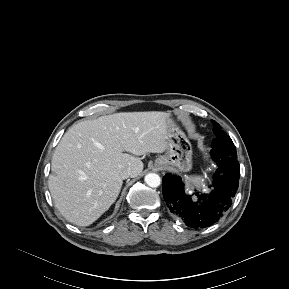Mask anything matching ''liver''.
<instances>
[{
	"mask_svg": "<svg viewBox=\"0 0 289 289\" xmlns=\"http://www.w3.org/2000/svg\"><path fill=\"white\" fill-rule=\"evenodd\" d=\"M164 112H122L71 126L57 145L48 188L55 207L71 223L89 226L115 202L130 168L143 170L136 156L163 153L170 136ZM136 155V156H134Z\"/></svg>",
	"mask_w": 289,
	"mask_h": 289,
	"instance_id": "obj_1",
	"label": "liver"
}]
</instances>
